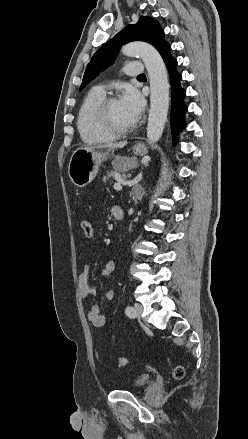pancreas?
<instances>
[{"instance_id":"obj_1","label":"pancreas","mask_w":248,"mask_h":439,"mask_svg":"<svg viewBox=\"0 0 248 439\" xmlns=\"http://www.w3.org/2000/svg\"><path fill=\"white\" fill-rule=\"evenodd\" d=\"M124 176L121 175L119 172L115 171H111L108 172L107 175L103 176L102 181L103 182H107L109 181V179H122Z\"/></svg>"}]
</instances>
